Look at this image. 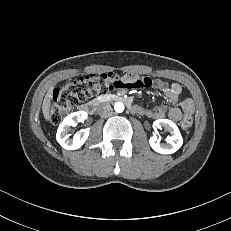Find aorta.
<instances>
[{"instance_id": "obj_1", "label": "aorta", "mask_w": 231, "mask_h": 231, "mask_svg": "<svg viewBox=\"0 0 231 231\" xmlns=\"http://www.w3.org/2000/svg\"><path fill=\"white\" fill-rule=\"evenodd\" d=\"M114 110L117 113H122L124 111V104L122 102H116L114 105Z\"/></svg>"}]
</instances>
